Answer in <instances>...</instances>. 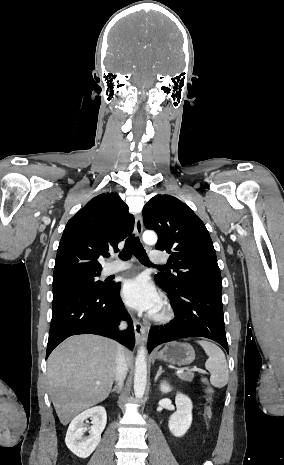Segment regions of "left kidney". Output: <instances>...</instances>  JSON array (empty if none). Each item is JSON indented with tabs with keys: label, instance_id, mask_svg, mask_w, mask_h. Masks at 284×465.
<instances>
[{
	"label": "left kidney",
	"instance_id": "left-kidney-1",
	"mask_svg": "<svg viewBox=\"0 0 284 465\" xmlns=\"http://www.w3.org/2000/svg\"><path fill=\"white\" fill-rule=\"evenodd\" d=\"M160 391L170 393L171 387L167 383H161ZM175 405L176 411L171 415L168 427L174 437H183L191 427L193 405L189 397L182 393H177Z\"/></svg>",
	"mask_w": 284,
	"mask_h": 465
}]
</instances>
